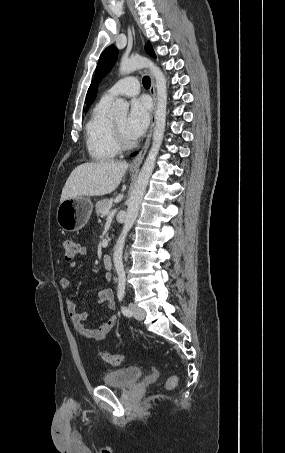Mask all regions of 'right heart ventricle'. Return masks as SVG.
I'll return each mask as SVG.
<instances>
[{"label":"right heart ventricle","instance_id":"obj_1","mask_svg":"<svg viewBox=\"0 0 285 453\" xmlns=\"http://www.w3.org/2000/svg\"><path fill=\"white\" fill-rule=\"evenodd\" d=\"M111 102L101 99L93 108L86 124V147L89 155L97 161H106L116 157L118 147L108 115Z\"/></svg>","mask_w":285,"mask_h":453}]
</instances>
